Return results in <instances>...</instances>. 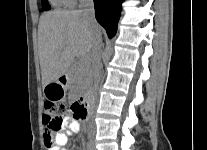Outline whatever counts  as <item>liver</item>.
Masks as SVG:
<instances>
[{
    "mask_svg": "<svg viewBox=\"0 0 207 150\" xmlns=\"http://www.w3.org/2000/svg\"><path fill=\"white\" fill-rule=\"evenodd\" d=\"M101 27L78 10H55L44 13L38 26V52L42 87L65 75L75 57L90 62Z\"/></svg>",
    "mask_w": 207,
    "mask_h": 150,
    "instance_id": "1",
    "label": "liver"
}]
</instances>
